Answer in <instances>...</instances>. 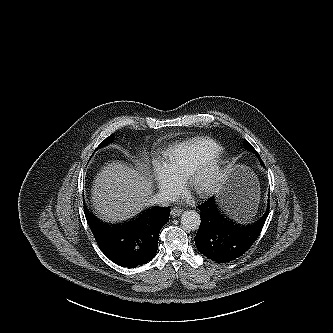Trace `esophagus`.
<instances>
[{
  "mask_svg": "<svg viewBox=\"0 0 333 333\" xmlns=\"http://www.w3.org/2000/svg\"><path fill=\"white\" fill-rule=\"evenodd\" d=\"M181 213H182V209H180V208H173V209L171 210V216H172V217H177V216H179Z\"/></svg>",
  "mask_w": 333,
  "mask_h": 333,
  "instance_id": "obj_1",
  "label": "esophagus"
}]
</instances>
